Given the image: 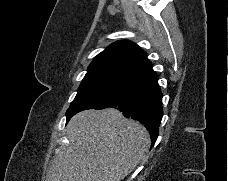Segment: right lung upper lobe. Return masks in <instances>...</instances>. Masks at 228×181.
Instances as JSON below:
<instances>
[{
    "label": "right lung upper lobe",
    "mask_w": 228,
    "mask_h": 181,
    "mask_svg": "<svg viewBox=\"0 0 228 181\" xmlns=\"http://www.w3.org/2000/svg\"><path fill=\"white\" fill-rule=\"evenodd\" d=\"M151 69V62L139 46L128 40H121L111 44L94 58L85 77L106 76L133 80Z\"/></svg>",
    "instance_id": "right-lung-upper-lobe-1"
}]
</instances>
